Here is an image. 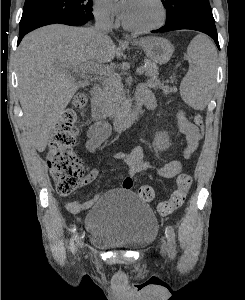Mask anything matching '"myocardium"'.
Instances as JSON below:
<instances>
[{"mask_svg":"<svg viewBox=\"0 0 245 300\" xmlns=\"http://www.w3.org/2000/svg\"><path fill=\"white\" fill-rule=\"evenodd\" d=\"M154 1L160 9V19L158 20V22H156L155 24L150 25V26L139 27V26H133V25L126 23L124 21L123 17H121L123 27L129 31L136 32V33H146V32H151V31L161 28L166 22L167 10L163 3V0H154Z\"/></svg>","mask_w":245,"mask_h":300,"instance_id":"obj_1","label":"myocardium"}]
</instances>
